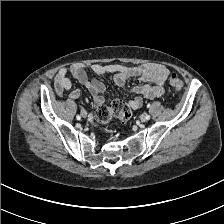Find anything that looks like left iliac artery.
I'll list each match as a JSON object with an SVG mask.
<instances>
[{"label": "left iliac artery", "mask_w": 224, "mask_h": 224, "mask_svg": "<svg viewBox=\"0 0 224 224\" xmlns=\"http://www.w3.org/2000/svg\"><path fill=\"white\" fill-rule=\"evenodd\" d=\"M147 106L149 107L150 105L148 104ZM147 119H148V120L150 119V115H147Z\"/></svg>", "instance_id": "left-iliac-artery-1"}]
</instances>
